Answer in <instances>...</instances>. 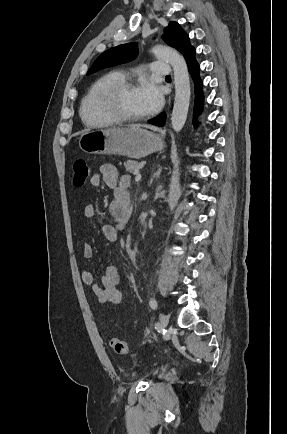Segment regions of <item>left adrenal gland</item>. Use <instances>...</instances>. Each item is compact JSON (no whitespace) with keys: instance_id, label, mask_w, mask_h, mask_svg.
Wrapping results in <instances>:
<instances>
[{"instance_id":"obj_1","label":"left adrenal gland","mask_w":287,"mask_h":434,"mask_svg":"<svg viewBox=\"0 0 287 434\" xmlns=\"http://www.w3.org/2000/svg\"><path fill=\"white\" fill-rule=\"evenodd\" d=\"M161 171H162V167H161L160 165H158V169H157V171L154 173L152 180H153L154 178L157 179V178L160 176Z\"/></svg>"}]
</instances>
